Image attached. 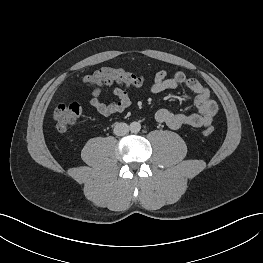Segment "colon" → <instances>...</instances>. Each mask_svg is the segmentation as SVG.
Segmentation results:
<instances>
[{
    "mask_svg": "<svg viewBox=\"0 0 263 263\" xmlns=\"http://www.w3.org/2000/svg\"><path fill=\"white\" fill-rule=\"evenodd\" d=\"M84 82L89 85L119 84L130 88H139L144 84V78L123 68L105 66L86 76ZM81 110L82 108L77 102L59 104L53 113L56 129L59 132H66L71 129ZM213 133V127L204 130V134L207 136Z\"/></svg>",
    "mask_w": 263,
    "mask_h": 263,
    "instance_id": "colon-1",
    "label": "colon"
}]
</instances>
